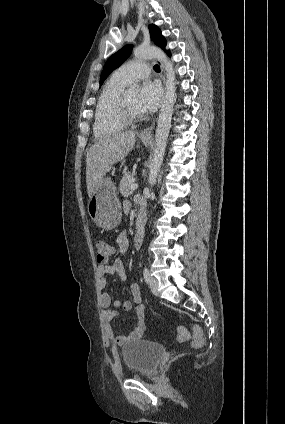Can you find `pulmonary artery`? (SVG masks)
<instances>
[{
    "label": "pulmonary artery",
    "instance_id": "1",
    "mask_svg": "<svg viewBox=\"0 0 285 424\" xmlns=\"http://www.w3.org/2000/svg\"><path fill=\"white\" fill-rule=\"evenodd\" d=\"M149 73V66L145 62L137 60L119 67L113 75L119 80L129 83L133 80L146 78Z\"/></svg>",
    "mask_w": 285,
    "mask_h": 424
}]
</instances>
